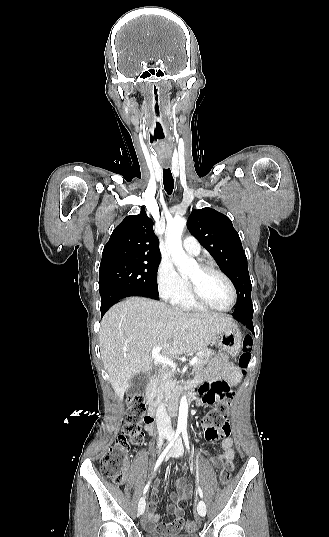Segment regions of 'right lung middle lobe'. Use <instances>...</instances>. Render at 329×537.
Returning a JSON list of instances; mask_svg holds the SVG:
<instances>
[{
  "mask_svg": "<svg viewBox=\"0 0 329 537\" xmlns=\"http://www.w3.org/2000/svg\"><path fill=\"white\" fill-rule=\"evenodd\" d=\"M160 259L147 262H114L100 265L99 290L120 287L158 295L157 270Z\"/></svg>",
  "mask_w": 329,
  "mask_h": 537,
  "instance_id": "dd1d6c3e",
  "label": "right lung middle lobe"
}]
</instances>
